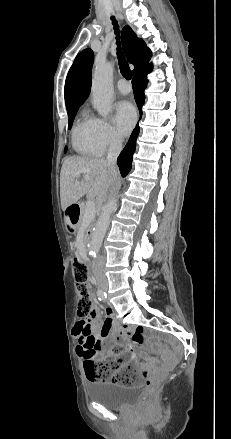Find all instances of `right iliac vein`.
<instances>
[{"mask_svg":"<svg viewBox=\"0 0 231 439\" xmlns=\"http://www.w3.org/2000/svg\"><path fill=\"white\" fill-rule=\"evenodd\" d=\"M102 287H103L104 289H107V285H106V284H103Z\"/></svg>","mask_w":231,"mask_h":439,"instance_id":"right-iliac-vein-1","label":"right iliac vein"}]
</instances>
